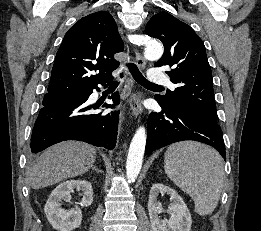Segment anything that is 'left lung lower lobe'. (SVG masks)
<instances>
[{
	"label": "left lung lower lobe",
	"mask_w": 261,
	"mask_h": 231,
	"mask_svg": "<svg viewBox=\"0 0 261 231\" xmlns=\"http://www.w3.org/2000/svg\"><path fill=\"white\" fill-rule=\"evenodd\" d=\"M155 100L162 111L149 115L146 155L175 142L195 140L214 147L225 159L223 134L217 122L184 106H167Z\"/></svg>",
	"instance_id": "1"
}]
</instances>
